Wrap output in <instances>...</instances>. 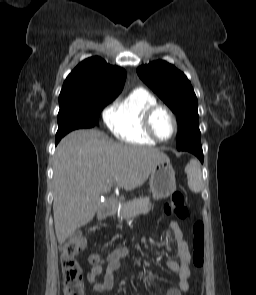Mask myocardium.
<instances>
[{
  "label": "myocardium",
  "instance_id": "myocardium-1",
  "mask_svg": "<svg viewBox=\"0 0 256 295\" xmlns=\"http://www.w3.org/2000/svg\"><path fill=\"white\" fill-rule=\"evenodd\" d=\"M158 111H164L166 112L169 117L171 118L172 122H173V133L172 136L169 139H161L155 132L154 127H153V118L154 115L158 112ZM143 124H144V129L147 132V134L156 142L158 143H168L170 142L177 134L178 132V121L177 118L175 116V114L173 113V111L168 108L165 105L162 104H155L152 105L151 107H149L145 113H144V118H143Z\"/></svg>",
  "mask_w": 256,
  "mask_h": 295
}]
</instances>
